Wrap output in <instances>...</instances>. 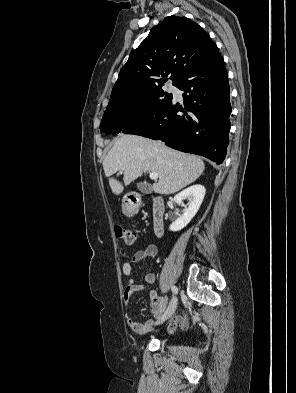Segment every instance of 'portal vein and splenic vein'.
Masks as SVG:
<instances>
[{"instance_id":"1","label":"portal vein and splenic vein","mask_w":296,"mask_h":393,"mask_svg":"<svg viewBox=\"0 0 296 393\" xmlns=\"http://www.w3.org/2000/svg\"><path fill=\"white\" fill-rule=\"evenodd\" d=\"M149 177H150L151 179H153V180H157V179H158V174L155 173V172H151V173L149 174Z\"/></svg>"}]
</instances>
